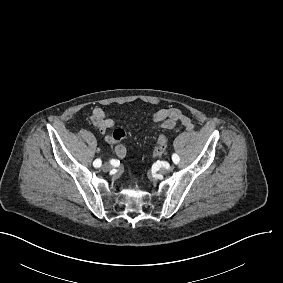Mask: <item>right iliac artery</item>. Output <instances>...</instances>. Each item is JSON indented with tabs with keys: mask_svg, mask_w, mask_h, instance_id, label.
<instances>
[{
	"mask_svg": "<svg viewBox=\"0 0 283 283\" xmlns=\"http://www.w3.org/2000/svg\"><path fill=\"white\" fill-rule=\"evenodd\" d=\"M101 160L100 159H96L94 162H93V166L94 167H96V168H98V167H100L101 166Z\"/></svg>",
	"mask_w": 283,
	"mask_h": 283,
	"instance_id": "82829eb1",
	"label": "right iliac artery"
}]
</instances>
